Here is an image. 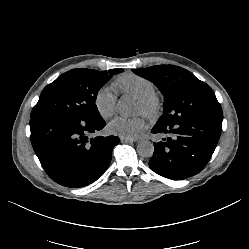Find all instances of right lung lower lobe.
<instances>
[{
	"label": "right lung lower lobe",
	"mask_w": 249,
	"mask_h": 249,
	"mask_svg": "<svg viewBox=\"0 0 249 249\" xmlns=\"http://www.w3.org/2000/svg\"><path fill=\"white\" fill-rule=\"evenodd\" d=\"M104 119L82 120L67 115L30 118L31 143L48 176L66 187L78 188L97 180L108 168L115 136L88 139L105 126Z\"/></svg>",
	"instance_id": "98d812e1"
}]
</instances>
